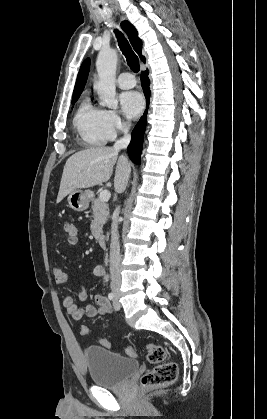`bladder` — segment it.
Segmentation results:
<instances>
[{
    "mask_svg": "<svg viewBox=\"0 0 267 419\" xmlns=\"http://www.w3.org/2000/svg\"><path fill=\"white\" fill-rule=\"evenodd\" d=\"M91 381L100 387L117 388L139 369V362L104 347L92 345L84 350Z\"/></svg>",
    "mask_w": 267,
    "mask_h": 419,
    "instance_id": "bladder-1",
    "label": "bladder"
}]
</instances>
